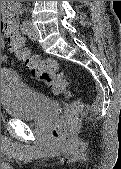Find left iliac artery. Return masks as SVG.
I'll return each instance as SVG.
<instances>
[{"instance_id":"44dca946","label":"left iliac artery","mask_w":121,"mask_h":169,"mask_svg":"<svg viewBox=\"0 0 121 169\" xmlns=\"http://www.w3.org/2000/svg\"><path fill=\"white\" fill-rule=\"evenodd\" d=\"M29 20H24L21 24V30L26 32L28 30V26H29Z\"/></svg>"}]
</instances>
